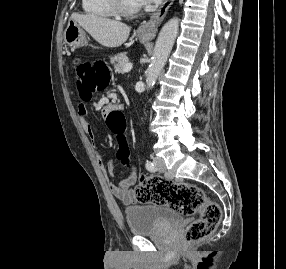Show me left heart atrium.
I'll return each mask as SVG.
<instances>
[{
    "label": "left heart atrium",
    "mask_w": 286,
    "mask_h": 269,
    "mask_svg": "<svg viewBox=\"0 0 286 269\" xmlns=\"http://www.w3.org/2000/svg\"><path fill=\"white\" fill-rule=\"evenodd\" d=\"M140 5H153L159 3L161 0H137Z\"/></svg>",
    "instance_id": "left-heart-atrium-1"
}]
</instances>
